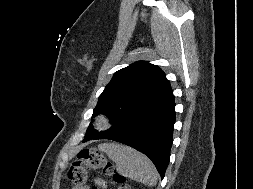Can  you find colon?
<instances>
[{"label": "colon", "mask_w": 253, "mask_h": 189, "mask_svg": "<svg viewBox=\"0 0 253 189\" xmlns=\"http://www.w3.org/2000/svg\"><path fill=\"white\" fill-rule=\"evenodd\" d=\"M90 170L111 177L117 189H131L126 178L120 175L114 164L96 148H84L78 152L67 172V179L75 189H80L86 183ZM90 189L98 188L91 186Z\"/></svg>", "instance_id": "1"}]
</instances>
